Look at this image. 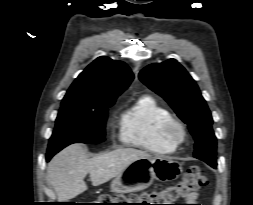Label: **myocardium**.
Listing matches in <instances>:
<instances>
[{
	"label": "myocardium",
	"mask_w": 253,
	"mask_h": 205,
	"mask_svg": "<svg viewBox=\"0 0 253 205\" xmlns=\"http://www.w3.org/2000/svg\"><path fill=\"white\" fill-rule=\"evenodd\" d=\"M162 137L168 143L178 146L182 144L187 137L186 127L181 121L173 118L164 125Z\"/></svg>",
	"instance_id": "myocardium-1"
}]
</instances>
